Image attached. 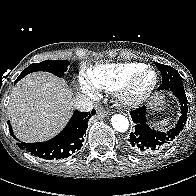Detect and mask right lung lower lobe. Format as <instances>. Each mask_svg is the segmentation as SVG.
<instances>
[{"label":"right lung lower lobe","mask_w":196,"mask_h":196,"mask_svg":"<svg viewBox=\"0 0 196 196\" xmlns=\"http://www.w3.org/2000/svg\"><path fill=\"white\" fill-rule=\"evenodd\" d=\"M19 80L17 79L16 82ZM95 113L94 109L91 113L75 111L66 127L51 140L39 143H24L19 141L17 145L30 154L46 160L67 158L82 147L84 134L88 127V120ZM9 130L10 134L17 139L13 134L11 125H9Z\"/></svg>","instance_id":"1"}]
</instances>
